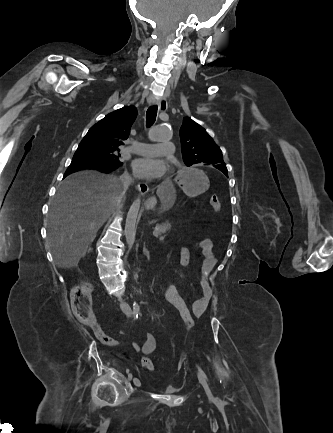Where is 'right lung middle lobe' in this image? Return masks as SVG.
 Here are the masks:
<instances>
[{"instance_id":"obj_1","label":"right lung middle lobe","mask_w":333,"mask_h":433,"mask_svg":"<svg viewBox=\"0 0 333 433\" xmlns=\"http://www.w3.org/2000/svg\"><path fill=\"white\" fill-rule=\"evenodd\" d=\"M120 154L115 148H101L82 140L72 160H93L111 165H121Z\"/></svg>"}]
</instances>
